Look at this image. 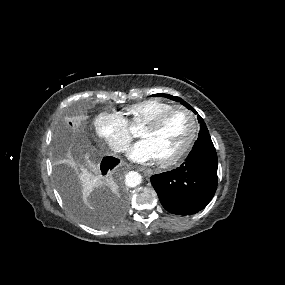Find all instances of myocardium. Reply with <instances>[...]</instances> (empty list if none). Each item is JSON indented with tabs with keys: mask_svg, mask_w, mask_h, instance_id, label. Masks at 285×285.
<instances>
[{
	"mask_svg": "<svg viewBox=\"0 0 285 285\" xmlns=\"http://www.w3.org/2000/svg\"><path fill=\"white\" fill-rule=\"evenodd\" d=\"M176 112H183L188 117L191 123V133L189 135V138L185 142V144L175 154H173L172 156L168 158L158 160V164L163 167L173 166L179 163L181 160H183L188 155V153L191 151V149L193 148L198 138L199 131H200L199 122L195 114L191 110L181 105H174L170 107L169 109L163 111L162 113H160L153 119L144 123V127L158 129L166 122V120L171 115H173Z\"/></svg>",
	"mask_w": 285,
	"mask_h": 285,
	"instance_id": "1",
	"label": "myocardium"
}]
</instances>
